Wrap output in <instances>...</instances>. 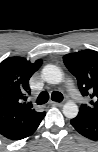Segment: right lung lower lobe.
I'll return each mask as SVG.
<instances>
[{
    "instance_id": "98d812e1",
    "label": "right lung lower lobe",
    "mask_w": 98,
    "mask_h": 152,
    "mask_svg": "<svg viewBox=\"0 0 98 152\" xmlns=\"http://www.w3.org/2000/svg\"><path fill=\"white\" fill-rule=\"evenodd\" d=\"M45 114L46 113L43 112L38 117H36L32 122H30L27 126H25L23 129H21L17 133H15L11 136H8L6 138H8L10 140H20V139L30 136L31 134H33L35 132V130L39 126L40 122L44 118Z\"/></svg>"
}]
</instances>
